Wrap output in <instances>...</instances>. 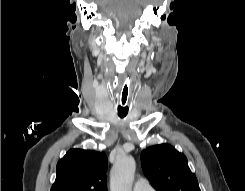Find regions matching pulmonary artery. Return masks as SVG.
<instances>
[{
  "mask_svg": "<svg viewBox=\"0 0 245 191\" xmlns=\"http://www.w3.org/2000/svg\"><path fill=\"white\" fill-rule=\"evenodd\" d=\"M133 191H155L154 188L144 179L137 180L133 186Z\"/></svg>",
  "mask_w": 245,
  "mask_h": 191,
  "instance_id": "obj_1",
  "label": "pulmonary artery"
}]
</instances>
